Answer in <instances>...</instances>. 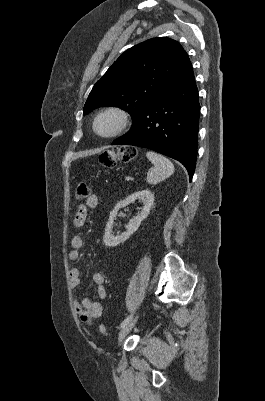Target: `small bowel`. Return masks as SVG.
Returning a JSON list of instances; mask_svg holds the SVG:
<instances>
[{"label":"small bowel","instance_id":"small-bowel-1","mask_svg":"<svg viewBox=\"0 0 265 401\" xmlns=\"http://www.w3.org/2000/svg\"><path fill=\"white\" fill-rule=\"evenodd\" d=\"M99 203V198L96 194L90 195L84 205H80L77 209L74 226L80 228L85 223L88 209L96 208ZM85 245V240L82 236H74L71 240V250L69 259L77 261L80 257V251ZM70 283L73 291H76L80 284V273L77 268H72L69 273ZM93 283L96 286V293L100 299H105L108 296L106 287L105 275L101 272H95L92 275ZM74 309L79 319L84 323H90L92 320L99 318L103 313V307L100 302L92 301L88 297H84L81 301H75Z\"/></svg>","mask_w":265,"mask_h":401}]
</instances>
